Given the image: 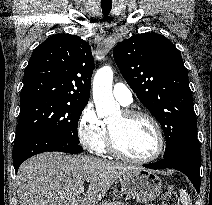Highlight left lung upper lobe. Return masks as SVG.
I'll return each instance as SVG.
<instances>
[{
  "label": "left lung upper lobe",
  "mask_w": 212,
  "mask_h": 205,
  "mask_svg": "<svg viewBox=\"0 0 212 205\" xmlns=\"http://www.w3.org/2000/svg\"><path fill=\"white\" fill-rule=\"evenodd\" d=\"M113 56L128 85L160 122L166 138L164 157L196 136L188 72L180 51L165 36L134 35L117 44Z\"/></svg>",
  "instance_id": "obj_1"
}]
</instances>
